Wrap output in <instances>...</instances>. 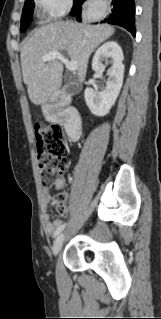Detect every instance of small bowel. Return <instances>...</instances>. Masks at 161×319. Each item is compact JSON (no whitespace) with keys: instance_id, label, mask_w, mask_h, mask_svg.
Instances as JSON below:
<instances>
[{"instance_id":"c3829d8e","label":"small bowel","mask_w":161,"mask_h":319,"mask_svg":"<svg viewBox=\"0 0 161 319\" xmlns=\"http://www.w3.org/2000/svg\"><path fill=\"white\" fill-rule=\"evenodd\" d=\"M65 179L64 178H61L59 179L56 184H55V189L57 191H61L64 189L65 187ZM42 197H43V208L44 210L46 211L48 205L50 204V202L52 201V194L51 192L48 190V189H45L43 191V194H42ZM42 221H43V226H44V230H45V233L49 236H51L52 234L55 233V231L62 225V222L61 220L59 219H56L54 221H51L50 220V216L48 213H44L43 215V218H42Z\"/></svg>"}]
</instances>
